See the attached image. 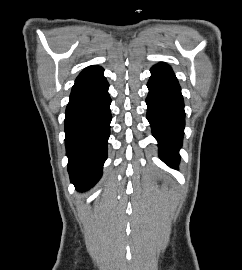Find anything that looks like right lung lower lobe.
<instances>
[{"mask_svg":"<svg viewBox=\"0 0 242 270\" xmlns=\"http://www.w3.org/2000/svg\"><path fill=\"white\" fill-rule=\"evenodd\" d=\"M103 68L91 66L77 77L66 108L65 145L71 182L79 191L101 177L107 159L111 99Z\"/></svg>","mask_w":242,"mask_h":270,"instance_id":"right-lung-lower-lobe-1","label":"right lung lower lobe"}]
</instances>
